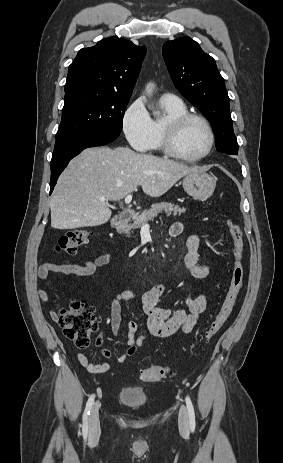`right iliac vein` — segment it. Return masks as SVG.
I'll return each instance as SVG.
<instances>
[{"label":"right iliac vein","instance_id":"obj_1","mask_svg":"<svg viewBox=\"0 0 283 463\" xmlns=\"http://www.w3.org/2000/svg\"><path fill=\"white\" fill-rule=\"evenodd\" d=\"M99 401L93 405L89 416V437L95 439L100 433V420H99Z\"/></svg>","mask_w":283,"mask_h":463}]
</instances>
